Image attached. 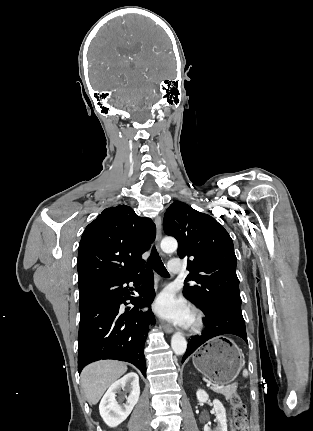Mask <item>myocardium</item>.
<instances>
[{"label":"myocardium","mask_w":313,"mask_h":431,"mask_svg":"<svg viewBox=\"0 0 313 431\" xmlns=\"http://www.w3.org/2000/svg\"><path fill=\"white\" fill-rule=\"evenodd\" d=\"M205 327L203 313L198 309H192L190 313L189 329L192 333H200Z\"/></svg>","instance_id":"myocardium-1"}]
</instances>
